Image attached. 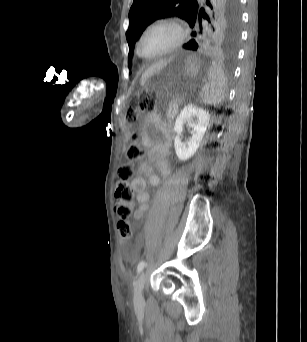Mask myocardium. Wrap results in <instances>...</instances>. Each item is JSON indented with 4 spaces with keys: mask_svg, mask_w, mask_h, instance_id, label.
<instances>
[{
    "mask_svg": "<svg viewBox=\"0 0 307 342\" xmlns=\"http://www.w3.org/2000/svg\"><path fill=\"white\" fill-rule=\"evenodd\" d=\"M160 23H166V24L171 25L174 28L175 32H176V39L174 40V42L168 48H166L165 50H163L159 54H157V55H155L153 57H146L141 52L142 38H143L144 34L146 33V31L150 27H152L155 24H160ZM184 41H185V32H184V29H183L181 23L177 19H175L173 17L160 16V17H157V18H154V19L150 20L142 28V30H141V32L139 34L138 40H137L136 49H137L138 55L142 59H144L146 61H154V60H158L160 58H163V57L173 53L174 51H176L177 49H179L183 45Z\"/></svg>",
    "mask_w": 307,
    "mask_h": 342,
    "instance_id": "myocardium-1",
    "label": "myocardium"
}]
</instances>
